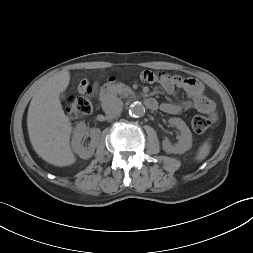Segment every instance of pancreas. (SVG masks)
Segmentation results:
<instances>
[{
  "label": "pancreas",
  "mask_w": 253,
  "mask_h": 253,
  "mask_svg": "<svg viewBox=\"0 0 253 253\" xmlns=\"http://www.w3.org/2000/svg\"><path fill=\"white\" fill-rule=\"evenodd\" d=\"M117 93H119L120 95L126 96L128 94H133V91L129 86L119 83L117 85Z\"/></svg>",
  "instance_id": "pancreas-1"
}]
</instances>
